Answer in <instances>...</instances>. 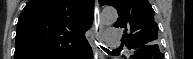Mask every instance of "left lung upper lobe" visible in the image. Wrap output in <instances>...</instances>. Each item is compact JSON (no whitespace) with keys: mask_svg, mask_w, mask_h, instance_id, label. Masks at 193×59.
Here are the masks:
<instances>
[{"mask_svg":"<svg viewBox=\"0 0 193 59\" xmlns=\"http://www.w3.org/2000/svg\"><path fill=\"white\" fill-rule=\"evenodd\" d=\"M101 5H111L119 18L114 27L124 29L122 40L127 48L156 47L158 25L154 21V10L148 0H99Z\"/></svg>","mask_w":193,"mask_h":59,"instance_id":"5c2ea615","label":"left lung upper lobe"}]
</instances>
